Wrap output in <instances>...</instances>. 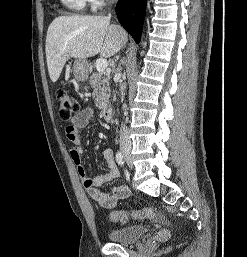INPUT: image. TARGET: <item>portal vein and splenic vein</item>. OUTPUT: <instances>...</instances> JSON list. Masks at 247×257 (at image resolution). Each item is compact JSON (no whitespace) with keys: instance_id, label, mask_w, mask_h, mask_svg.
<instances>
[{"instance_id":"1","label":"portal vein and splenic vein","mask_w":247,"mask_h":257,"mask_svg":"<svg viewBox=\"0 0 247 257\" xmlns=\"http://www.w3.org/2000/svg\"><path fill=\"white\" fill-rule=\"evenodd\" d=\"M95 66L98 72H103L108 67V62L106 59L101 58L96 60Z\"/></svg>"}]
</instances>
